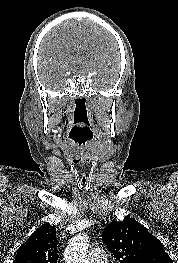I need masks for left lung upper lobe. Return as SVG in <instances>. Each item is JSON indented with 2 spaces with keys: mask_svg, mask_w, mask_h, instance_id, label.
<instances>
[{
  "mask_svg": "<svg viewBox=\"0 0 178 263\" xmlns=\"http://www.w3.org/2000/svg\"><path fill=\"white\" fill-rule=\"evenodd\" d=\"M102 240L120 263H173L162 243L130 217L113 220Z\"/></svg>",
  "mask_w": 178,
  "mask_h": 263,
  "instance_id": "1",
  "label": "left lung upper lobe"
}]
</instances>
